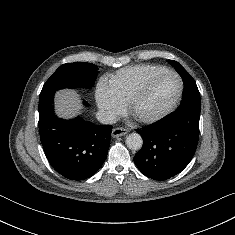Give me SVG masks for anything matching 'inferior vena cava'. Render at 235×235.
<instances>
[{
  "label": "inferior vena cava",
  "instance_id": "1",
  "mask_svg": "<svg viewBox=\"0 0 235 235\" xmlns=\"http://www.w3.org/2000/svg\"><path fill=\"white\" fill-rule=\"evenodd\" d=\"M97 119L102 124H113L115 123V118L112 114L106 112V111H98L97 113Z\"/></svg>",
  "mask_w": 235,
  "mask_h": 235
}]
</instances>
